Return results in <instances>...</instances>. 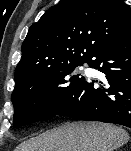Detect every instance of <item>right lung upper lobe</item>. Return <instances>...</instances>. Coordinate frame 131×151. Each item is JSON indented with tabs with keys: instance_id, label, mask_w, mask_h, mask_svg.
<instances>
[{
	"instance_id": "1",
	"label": "right lung upper lobe",
	"mask_w": 131,
	"mask_h": 151,
	"mask_svg": "<svg viewBox=\"0 0 131 151\" xmlns=\"http://www.w3.org/2000/svg\"><path fill=\"white\" fill-rule=\"evenodd\" d=\"M131 33L121 0H61L29 28L15 88L56 69L88 62L95 51Z\"/></svg>"
}]
</instances>
